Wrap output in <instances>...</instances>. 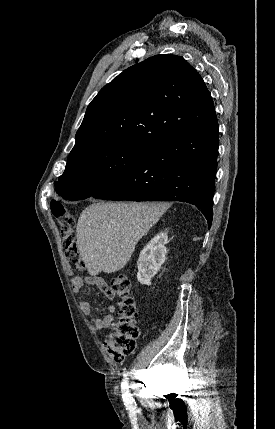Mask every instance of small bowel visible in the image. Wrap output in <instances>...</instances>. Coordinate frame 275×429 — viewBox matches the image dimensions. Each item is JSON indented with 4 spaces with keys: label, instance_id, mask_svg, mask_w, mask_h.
I'll use <instances>...</instances> for the list:
<instances>
[{
    "label": "small bowel",
    "instance_id": "c3829d8e",
    "mask_svg": "<svg viewBox=\"0 0 275 429\" xmlns=\"http://www.w3.org/2000/svg\"><path fill=\"white\" fill-rule=\"evenodd\" d=\"M70 282H71V285H72L74 291L77 294L81 293L84 284H88V285H94V286L98 287L109 299H113L115 297L110 286L106 283V281L101 276L93 275V276L83 278L79 275H73L70 278ZM79 306H80V310L85 315H90L92 313V305L90 302L81 301ZM115 311H116L115 306L110 305L108 307V313L106 315H104V316H93L90 319L91 325L96 330H102V329L109 327L114 320Z\"/></svg>",
    "mask_w": 275,
    "mask_h": 429
}]
</instances>
